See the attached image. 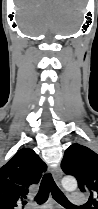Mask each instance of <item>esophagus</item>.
<instances>
[{
  "instance_id": "obj_1",
  "label": "esophagus",
  "mask_w": 98,
  "mask_h": 209,
  "mask_svg": "<svg viewBox=\"0 0 98 209\" xmlns=\"http://www.w3.org/2000/svg\"><path fill=\"white\" fill-rule=\"evenodd\" d=\"M53 176H54L55 182H56L58 185H60V183H61V178H62L61 169H60V168H56V169L53 171Z\"/></svg>"
}]
</instances>
